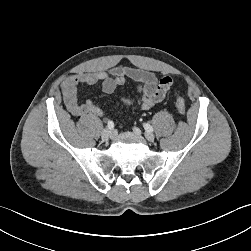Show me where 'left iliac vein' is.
Here are the masks:
<instances>
[{"label": "left iliac vein", "instance_id": "4c4485c4", "mask_svg": "<svg viewBox=\"0 0 251 251\" xmlns=\"http://www.w3.org/2000/svg\"><path fill=\"white\" fill-rule=\"evenodd\" d=\"M134 131H135L137 134L140 133L139 129H137V128H134ZM144 135H145V138H146L149 142H153L154 139H155L154 134L151 133V132H145Z\"/></svg>", "mask_w": 251, "mask_h": 251}]
</instances>
